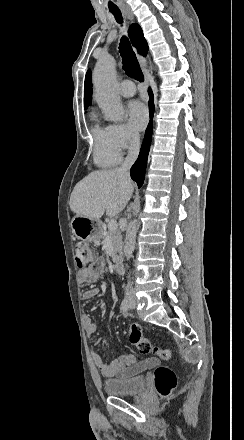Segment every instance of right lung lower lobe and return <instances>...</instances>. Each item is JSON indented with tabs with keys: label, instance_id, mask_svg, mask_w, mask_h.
Here are the masks:
<instances>
[{
	"label": "right lung lower lobe",
	"instance_id": "obj_1",
	"mask_svg": "<svg viewBox=\"0 0 244 440\" xmlns=\"http://www.w3.org/2000/svg\"><path fill=\"white\" fill-rule=\"evenodd\" d=\"M149 96H150L149 112H150V119H152L154 113V103H153V94L151 90H149ZM152 131H153V124L152 121L150 120L145 132L144 140L141 146L138 159L130 170L131 178L137 182L139 188L142 186L144 182L145 171L147 166V157L151 145Z\"/></svg>",
	"mask_w": 244,
	"mask_h": 440
}]
</instances>
